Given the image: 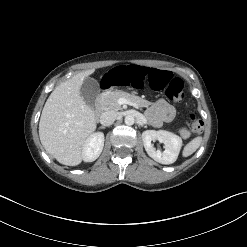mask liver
I'll return each mask as SVG.
<instances>
[{
	"label": "liver",
	"mask_w": 247,
	"mask_h": 247,
	"mask_svg": "<svg viewBox=\"0 0 247 247\" xmlns=\"http://www.w3.org/2000/svg\"><path fill=\"white\" fill-rule=\"evenodd\" d=\"M93 73L94 69L80 72L61 83L50 94L42 110L41 143L61 164H80L84 144L96 130L95 113L80 93L84 79Z\"/></svg>",
	"instance_id": "obj_1"
}]
</instances>
